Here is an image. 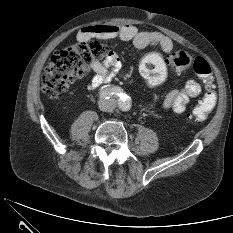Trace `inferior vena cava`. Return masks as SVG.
Listing matches in <instances>:
<instances>
[{
  "label": "inferior vena cava",
  "mask_w": 233,
  "mask_h": 233,
  "mask_svg": "<svg viewBox=\"0 0 233 233\" xmlns=\"http://www.w3.org/2000/svg\"><path fill=\"white\" fill-rule=\"evenodd\" d=\"M116 102L114 99L101 100L100 107L105 112H112L115 109Z\"/></svg>",
  "instance_id": "obj_1"
}]
</instances>
